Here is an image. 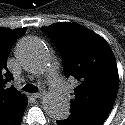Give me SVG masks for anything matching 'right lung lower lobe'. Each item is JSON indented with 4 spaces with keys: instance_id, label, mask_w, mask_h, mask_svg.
Segmentation results:
<instances>
[{
    "instance_id": "obj_1",
    "label": "right lung lower lobe",
    "mask_w": 125,
    "mask_h": 125,
    "mask_svg": "<svg viewBox=\"0 0 125 125\" xmlns=\"http://www.w3.org/2000/svg\"><path fill=\"white\" fill-rule=\"evenodd\" d=\"M26 107L27 101L22 99L19 103L1 113L0 125H19Z\"/></svg>"
}]
</instances>
